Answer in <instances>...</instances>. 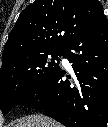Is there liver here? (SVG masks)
Segmentation results:
<instances>
[{
  "label": "liver",
  "mask_w": 108,
  "mask_h": 127,
  "mask_svg": "<svg viewBox=\"0 0 108 127\" xmlns=\"http://www.w3.org/2000/svg\"><path fill=\"white\" fill-rule=\"evenodd\" d=\"M15 127H63L47 116L36 114L23 118Z\"/></svg>",
  "instance_id": "6515ba94"
}]
</instances>
